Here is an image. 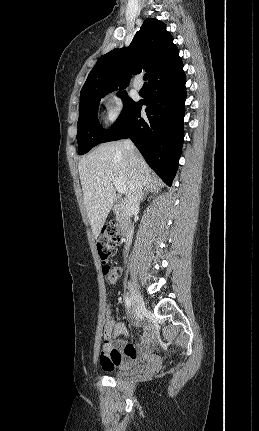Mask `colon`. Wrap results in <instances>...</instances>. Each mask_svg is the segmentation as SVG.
Returning a JSON list of instances; mask_svg holds the SVG:
<instances>
[{
  "label": "colon",
  "instance_id": "obj_1",
  "mask_svg": "<svg viewBox=\"0 0 259 431\" xmlns=\"http://www.w3.org/2000/svg\"><path fill=\"white\" fill-rule=\"evenodd\" d=\"M120 230L115 223H107L101 230L97 241V250L103 263V274L107 282L115 284L120 278V269L108 263L115 255L116 246L120 241Z\"/></svg>",
  "mask_w": 259,
  "mask_h": 431
}]
</instances>
